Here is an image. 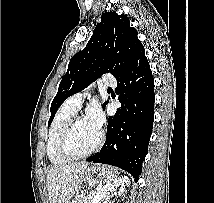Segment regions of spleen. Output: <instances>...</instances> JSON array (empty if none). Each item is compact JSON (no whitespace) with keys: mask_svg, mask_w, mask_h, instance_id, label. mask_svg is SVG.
<instances>
[{"mask_svg":"<svg viewBox=\"0 0 214 203\" xmlns=\"http://www.w3.org/2000/svg\"><path fill=\"white\" fill-rule=\"evenodd\" d=\"M121 181L125 182L126 185H129V183H130V181H129L127 176H124V178L122 177Z\"/></svg>","mask_w":214,"mask_h":203,"instance_id":"1","label":"spleen"}]
</instances>
